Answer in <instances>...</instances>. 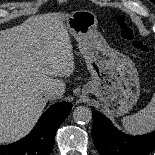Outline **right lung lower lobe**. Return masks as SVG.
I'll list each match as a JSON object with an SVG mask.
<instances>
[{"label":"right lung lower lobe","instance_id":"1","mask_svg":"<svg viewBox=\"0 0 155 155\" xmlns=\"http://www.w3.org/2000/svg\"><path fill=\"white\" fill-rule=\"evenodd\" d=\"M71 109L72 104L68 102L52 105L26 137L9 145H0V155H49L53 149L56 130Z\"/></svg>","mask_w":155,"mask_h":155}]
</instances>
